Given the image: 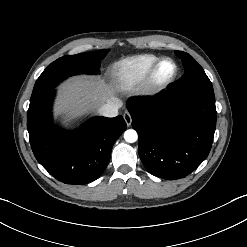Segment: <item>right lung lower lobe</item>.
I'll return each mask as SVG.
<instances>
[{"instance_id": "98d812e1", "label": "right lung lower lobe", "mask_w": 247, "mask_h": 247, "mask_svg": "<svg viewBox=\"0 0 247 247\" xmlns=\"http://www.w3.org/2000/svg\"><path fill=\"white\" fill-rule=\"evenodd\" d=\"M53 91L27 112L30 144L37 161L57 180L88 184L106 169L115 141L126 130L122 116L94 117L75 131H63L49 121Z\"/></svg>"}]
</instances>
